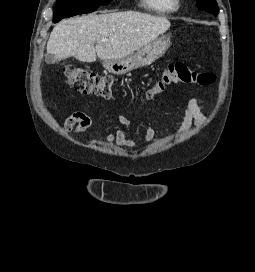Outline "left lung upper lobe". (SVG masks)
Segmentation results:
<instances>
[{"instance_id":"5c2ea615","label":"left lung upper lobe","mask_w":255,"mask_h":272,"mask_svg":"<svg viewBox=\"0 0 255 272\" xmlns=\"http://www.w3.org/2000/svg\"><path fill=\"white\" fill-rule=\"evenodd\" d=\"M196 4L199 9L213 13L216 16L218 5L215 0H196Z\"/></svg>"}]
</instances>
